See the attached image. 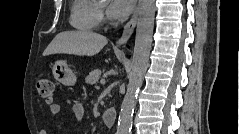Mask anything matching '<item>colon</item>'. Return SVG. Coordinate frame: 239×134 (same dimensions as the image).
I'll list each match as a JSON object with an SVG mask.
<instances>
[{
    "label": "colon",
    "instance_id": "1",
    "mask_svg": "<svg viewBox=\"0 0 239 134\" xmlns=\"http://www.w3.org/2000/svg\"><path fill=\"white\" fill-rule=\"evenodd\" d=\"M36 89L43 99L48 102L52 100L54 86L49 78L39 77L36 81Z\"/></svg>",
    "mask_w": 239,
    "mask_h": 134
}]
</instances>
